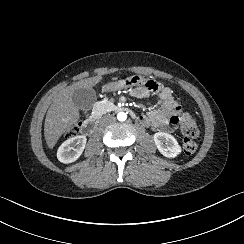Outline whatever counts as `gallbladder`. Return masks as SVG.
I'll list each match as a JSON object with an SVG mask.
<instances>
[{
  "mask_svg": "<svg viewBox=\"0 0 244 244\" xmlns=\"http://www.w3.org/2000/svg\"><path fill=\"white\" fill-rule=\"evenodd\" d=\"M97 97L96 92L92 88H81L76 89L73 93L72 100L74 105L83 110H89L92 108L95 103Z\"/></svg>",
  "mask_w": 244,
  "mask_h": 244,
  "instance_id": "1",
  "label": "gallbladder"
}]
</instances>
